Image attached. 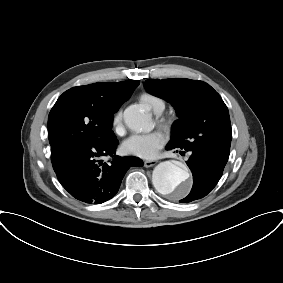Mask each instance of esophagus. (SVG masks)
<instances>
[{
    "instance_id": "obj_1",
    "label": "esophagus",
    "mask_w": 283,
    "mask_h": 283,
    "mask_svg": "<svg viewBox=\"0 0 283 283\" xmlns=\"http://www.w3.org/2000/svg\"><path fill=\"white\" fill-rule=\"evenodd\" d=\"M157 162H158L157 160L144 161V166H145L146 168H149V167H152V166L156 165Z\"/></svg>"
}]
</instances>
